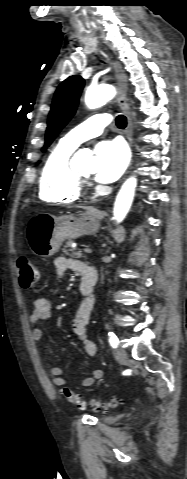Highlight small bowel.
<instances>
[{"label": "small bowel", "mask_w": 187, "mask_h": 479, "mask_svg": "<svg viewBox=\"0 0 187 479\" xmlns=\"http://www.w3.org/2000/svg\"><path fill=\"white\" fill-rule=\"evenodd\" d=\"M54 266L59 277L63 276L67 271L78 272L85 276L87 269L92 268L80 260L63 256H59L54 259ZM93 305L94 300L92 298H84L80 303L72 321V329L76 336L80 339L82 348L85 354L88 356H94L97 350L95 343L86 336V326L89 322ZM52 309V300L47 296L38 297L33 304L32 312L29 315V322L32 326L30 335L31 340L35 344H39L41 342L42 330L40 325L44 320L52 317ZM47 371L53 384L57 386L65 385V380L62 376L63 373L59 367L49 365L47 367ZM104 376L105 373L103 370L95 369L89 376L81 381V386L90 387L97 380L102 379Z\"/></svg>", "instance_id": "c3829d8e"}]
</instances>
